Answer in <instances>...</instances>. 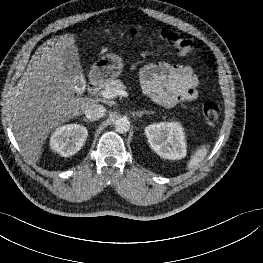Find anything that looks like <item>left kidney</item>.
Instances as JSON below:
<instances>
[{
	"mask_svg": "<svg viewBox=\"0 0 263 263\" xmlns=\"http://www.w3.org/2000/svg\"><path fill=\"white\" fill-rule=\"evenodd\" d=\"M145 135L151 148L162 158L179 160L186 156L183 128L178 122H160L147 126Z\"/></svg>",
	"mask_w": 263,
	"mask_h": 263,
	"instance_id": "left-kidney-1",
	"label": "left kidney"
}]
</instances>
